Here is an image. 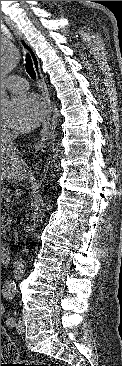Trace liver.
<instances>
[{
    "label": "liver",
    "instance_id": "1",
    "mask_svg": "<svg viewBox=\"0 0 122 366\" xmlns=\"http://www.w3.org/2000/svg\"><path fill=\"white\" fill-rule=\"evenodd\" d=\"M28 168L13 147L1 143V182L17 183L25 180Z\"/></svg>",
    "mask_w": 122,
    "mask_h": 366
}]
</instances>
